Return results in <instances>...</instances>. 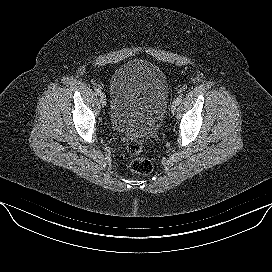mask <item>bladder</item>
Returning a JSON list of instances; mask_svg holds the SVG:
<instances>
[{"instance_id": "31cf9c89", "label": "bladder", "mask_w": 272, "mask_h": 272, "mask_svg": "<svg viewBox=\"0 0 272 272\" xmlns=\"http://www.w3.org/2000/svg\"><path fill=\"white\" fill-rule=\"evenodd\" d=\"M169 102L164 72L155 64L134 59L122 64L110 82L109 122L126 137H147L160 127Z\"/></svg>"}]
</instances>
